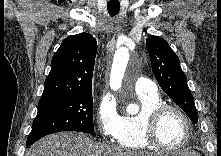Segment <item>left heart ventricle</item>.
Returning <instances> with one entry per match:
<instances>
[{
    "instance_id": "left-heart-ventricle-1",
    "label": "left heart ventricle",
    "mask_w": 221,
    "mask_h": 156,
    "mask_svg": "<svg viewBox=\"0 0 221 156\" xmlns=\"http://www.w3.org/2000/svg\"><path fill=\"white\" fill-rule=\"evenodd\" d=\"M185 134V124L180 115L175 111L166 112L158 126L157 135L160 142L175 147L183 141Z\"/></svg>"
}]
</instances>
